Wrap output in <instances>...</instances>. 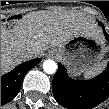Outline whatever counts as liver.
Here are the masks:
<instances>
[{
  "instance_id": "6515ba94",
  "label": "liver",
  "mask_w": 109,
  "mask_h": 109,
  "mask_svg": "<svg viewBox=\"0 0 109 109\" xmlns=\"http://www.w3.org/2000/svg\"><path fill=\"white\" fill-rule=\"evenodd\" d=\"M75 34L104 39L101 28L80 12L34 11L24 15L13 28H1V72L7 73L24 61L22 50L39 57L49 48L63 46Z\"/></svg>"
}]
</instances>
